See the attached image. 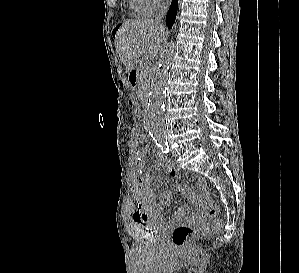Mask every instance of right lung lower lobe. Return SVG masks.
Returning <instances> with one entry per match:
<instances>
[{
    "label": "right lung lower lobe",
    "instance_id": "obj_1",
    "mask_svg": "<svg viewBox=\"0 0 299 273\" xmlns=\"http://www.w3.org/2000/svg\"><path fill=\"white\" fill-rule=\"evenodd\" d=\"M176 14H177V0H172L171 7L166 16V24L169 29L172 28V25L175 22Z\"/></svg>",
    "mask_w": 299,
    "mask_h": 273
}]
</instances>
